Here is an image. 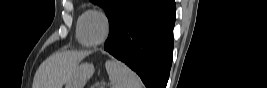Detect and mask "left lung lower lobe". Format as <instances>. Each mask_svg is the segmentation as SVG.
Listing matches in <instances>:
<instances>
[{"mask_svg": "<svg viewBox=\"0 0 267 88\" xmlns=\"http://www.w3.org/2000/svg\"><path fill=\"white\" fill-rule=\"evenodd\" d=\"M175 12L174 0H132L110 27L104 50L136 71L147 88H166Z\"/></svg>", "mask_w": 267, "mask_h": 88, "instance_id": "0a47b994", "label": "left lung lower lobe"}]
</instances>
